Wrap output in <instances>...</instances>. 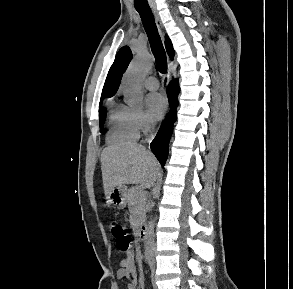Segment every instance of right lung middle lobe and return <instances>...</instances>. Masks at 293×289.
Segmentation results:
<instances>
[{"label": "right lung middle lobe", "instance_id": "dd1d6c3e", "mask_svg": "<svg viewBox=\"0 0 293 289\" xmlns=\"http://www.w3.org/2000/svg\"><path fill=\"white\" fill-rule=\"evenodd\" d=\"M102 101V99H101ZM106 119V110H99V122H100V132L103 131L104 121Z\"/></svg>", "mask_w": 293, "mask_h": 289}]
</instances>
